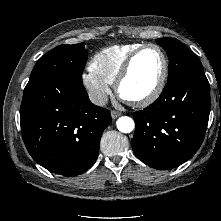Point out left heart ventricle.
<instances>
[{
    "label": "left heart ventricle",
    "mask_w": 221,
    "mask_h": 221,
    "mask_svg": "<svg viewBox=\"0 0 221 221\" xmlns=\"http://www.w3.org/2000/svg\"><path fill=\"white\" fill-rule=\"evenodd\" d=\"M162 71V57L155 48H147L135 59L131 72L121 86L127 99L147 96L158 83Z\"/></svg>",
    "instance_id": "obj_1"
}]
</instances>
